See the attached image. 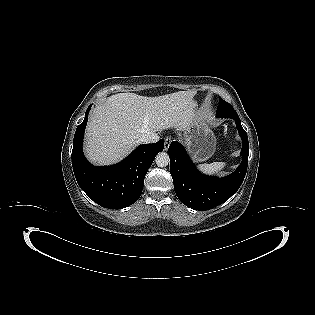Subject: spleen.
I'll list each match as a JSON object with an SVG mask.
<instances>
[{
	"label": "spleen",
	"instance_id": "1",
	"mask_svg": "<svg viewBox=\"0 0 315 315\" xmlns=\"http://www.w3.org/2000/svg\"><path fill=\"white\" fill-rule=\"evenodd\" d=\"M225 165L226 164L224 162H213L210 164H199L198 168L205 174L213 175L219 173L225 167Z\"/></svg>",
	"mask_w": 315,
	"mask_h": 315
}]
</instances>
